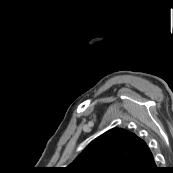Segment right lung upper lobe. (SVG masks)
I'll return each mask as SVG.
<instances>
[{
    "label": "right lung upper lobe",
    "mask_w": 173,
    "mask_h": 173,
    "mask_svg": "<svg viewBox=\"0 0 173 173\" xmlns=\"http://www.w3.org/2000/svg\"><path fill=\"white\" fill-rule=\"evenodd\" d=\"M147 144L134 133L113 128L93 140L64 173H124L151 155Z\"/></svg>",
    "instance_id": "right-lung-upper-lobe-1"
}]
</instances>
